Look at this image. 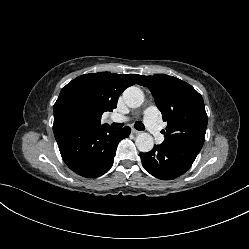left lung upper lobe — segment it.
I'll list each match as a JSON object with an SVG mask.
<instances>
[{
  "instance_id": "obj_1",
  "label": "left lung upper lobe",
  "mask_w": 249,
  "mask_h": 249,
  "mask_svg": "<svg viewBox=\"0 0 249 249\" xmlns=\"http://www.w3.org/2000/svg\"><path fill=\"white\" fill-rule=\"evenodd\" d=\"M139 84L151 91L163 121L168 122L163 144L200 151L208 123L202 96L188 83L165 74L144 76Z\"/></svg>"
}]
</instances>
